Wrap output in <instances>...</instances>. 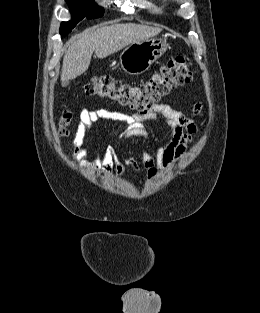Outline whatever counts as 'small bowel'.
<instances>
[{
  "mask_svg": "<svg viewBox=\"0 0 260 313\" xmlns=\"http://www.w3.org/2000/svg\"><path fill=\"white\" fill-rule=\"evenodd\" d=\"M201 106L200 102L194 103L195 115L200 114ZM103 119L125 123V127L116 133V137L120 138H149L151 134L144 125L146 121H162L170 128L172 134L167 142L158 144L153 151L145 150L142 154L141 162L147 170L149 179L155 178L160 171L168 169L175 160L182 157L198 132L197 124L193 119L162 103L156 104L148 111L136 112L132 115L106 109H82L73 137L74 159L79 166L100 177H106L113 172L118 177H122L125 163L135 174L139 171V163L136 158L127 156L123 160L112 146H107L99 151L94 160L86 158L89 132L95 124L100 123Z\"/></svg>",
  "mask_w": 260,
  "mask_h": 313,
  "instance_id": "obj_1",
  "label": "small bowel"
}]
</instances>
